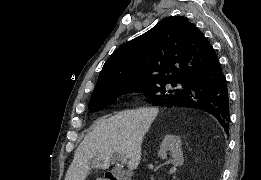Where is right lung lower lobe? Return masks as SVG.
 Wrapping results in <instances>:
<instances>
[{
	"label": "right lung lower lobe",
	"instance_id": "obj_1",
	"mask_svg": "<svg viewBox=\"0 0 261 180\" xmlns=\"http://www.w3.org/2000/svg\"><path fill=\"white\" fill-rule=\"evenodd\" d=\"M184 89L176 97L161 105L189 107L213 115L228 133L230 113L226 78L219 62L201 68L187 77Z\"/></svg>",
	"mask_w": 261,
	"mask_h": 180
}]
</instances>
